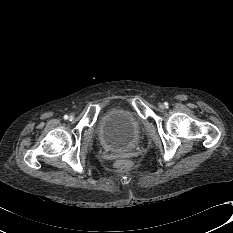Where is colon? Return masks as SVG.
I'll return each mask as SVG.
<instances>
[{"mask_svg": "<svg viewBox=\"0 0 233 233\" xmlns=\"http://www.w3.org/2000/svg\"><path fill=\"white\" fill-rule=\"evenodd\" d=\"M118 168H124L126 166V162L124 160H120L116 163Z\"/></svg>", "mask_w": 233, "mask_h": 233, "instance_id": "5ec220e1", "label": "colon"}]
</instances>
